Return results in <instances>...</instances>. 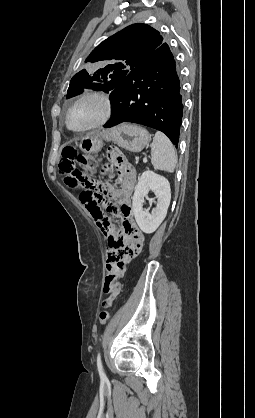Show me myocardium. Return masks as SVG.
<instances>
[{"instance_id":"obj_1","label":"myocardium","mask_w":255,"mask_h":418,"mask_svg":"<svg viewBox=\"0 0 255 418\" xmlns=\"http://www.w3.org/2000/svg\"><path fill=\"white\" fill-rule=\"evenodd\" d=\"M89 98H95L101 102L102 112H101L100 117L94 123H92L91 125L85 128H81V129L72 128L69 124V115H70L71 110L78 103ZM112 110H113L112 100L106 93L101 92V91H88V92L81 94L69 105L65 114V124H66V127L73 132H76V133L88 132V131L94 130L96 128H99L105 125L112 116Z\"/></svg>"}]
</instances>
